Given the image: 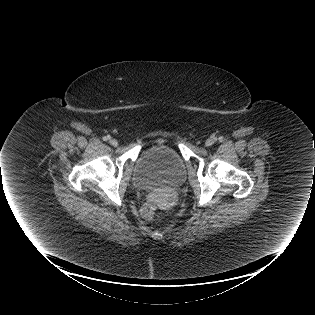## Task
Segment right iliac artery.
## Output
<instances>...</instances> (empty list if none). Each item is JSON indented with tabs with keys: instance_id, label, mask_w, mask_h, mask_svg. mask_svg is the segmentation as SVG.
<instances>
[{
	"instance_id": "obj_1",
	"label": "right iliac artery",
	"mask_w": 315,
	"mask_h": 315,
	"mask_svg": "<svg viewBox=\"0 0 315 315\" xmlns=\"http://www.w3.org/2000/svg\"><path fill=\"white\" fill-rule=\"evenodd\" d=\"M109 139H110V136H109V135L103 137V140H104V141H107V140H109Z\"/></svg>"
}]
</instances>
